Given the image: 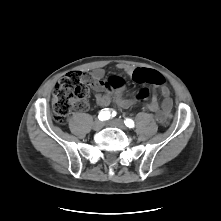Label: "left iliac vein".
Wrapping results in <instances>:
<instances>
[{"instance_id":"obj_1","label":"left iliac vein","mask_w":221,"mask_h":221,"mask_svg":"<svg viewBox=\"0 0 221 221\" xmlns=\"http://www.w3.org/2000/svg\"><path fill=\"white\" fill-rule=\"evenodd\" d=\"M107 124L110 125V126H113V127H118L122 130L125 129L124 122L122 120H119V119L108 121Z\"/></svg>"}]
</instances>
